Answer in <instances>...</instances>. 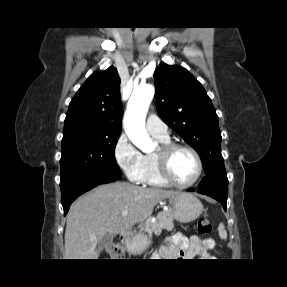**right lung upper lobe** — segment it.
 <instances>
[{
    "instance_id": "obj_1",
    "label": "right lung upper lobe",
    "mask_w": 287,
    "mask_h": 287,
    "mask_svg": "<svg viewBox=\"0 0 287 287\" xmlns=\"http://www.w3.org/2000/svg\"><path fill=\"white\" fill-rule=\"evenodd\" d=\"M123 109L116 68L96 71L80 87L64 122V131L79 125L106 132H121Z\"/></svg>"
}]
</instances>
